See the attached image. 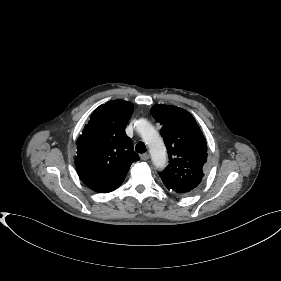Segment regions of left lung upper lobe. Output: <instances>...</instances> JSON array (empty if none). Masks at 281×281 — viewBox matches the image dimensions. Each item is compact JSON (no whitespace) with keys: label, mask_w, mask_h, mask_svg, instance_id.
Segmentation results:
<instances>
[{"label":"left lung upper lobe","mask_w":281,"mask_h":281,"mask_svg":"<svg viewBox=\"0 0 281 281\" xmlns=\"http://www.w3.org/2000/svg\"><path fill=\"white\" fill-rule=\"evenodd\" d=\"M153 117L162 125L169 164L159 172L166 188L179 195L193 194L202 184L208 169L207 144L193 116L170 105H155Z\"/></svg>","instance_id":"1"}]
</instances>
